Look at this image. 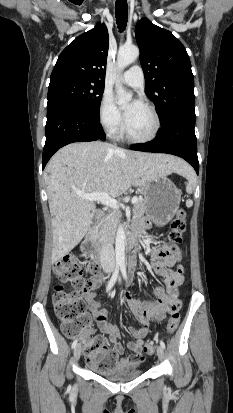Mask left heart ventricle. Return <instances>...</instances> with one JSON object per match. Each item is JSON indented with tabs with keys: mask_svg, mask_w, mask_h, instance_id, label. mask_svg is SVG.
I'll return each mask as SVG.
<instances>
[{
	"mask_svg": "<svg viewBox=\"0 0 233 413\" xmlns=\"http://www.w3.org/2000/svg\"><path fill=\"white\" fill-rule=\"evenodd\" d=\"M130 108L128 104L125 108L127 111ZM129 133L138 138H144L151 134L154 128V120L149 110L141 105L135 110L132 115L126 120Z\"/></svg>",
	"mask_w": 233,
	"mask_h": 413,
	"instance_id": "1",
	"label": "left heart ventricle"
}]
</instances>
